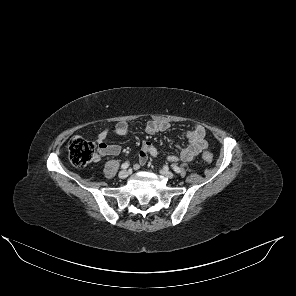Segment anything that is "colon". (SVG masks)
I'll list each match as a JSON object with an SVG mask.
<instances>
[{
  "label": "colon",
  "instance_id": "1",
  "mask_svg": "<svg viewBox=\"0 0 296 296\" xmlns=\"http://www.w3.org/2000/svg\"><path fill=\"white\" fill-rule=\"evenodd\" d=\"M68 154L71 163L78 168L85 167L97 158L96 145L81 137H73L68 143ZM202 159L211 163L213 156L210 152H204Z\"/></svg>",
  "mask_w": 296,
  "mask_h": 296
}]
</instances>
